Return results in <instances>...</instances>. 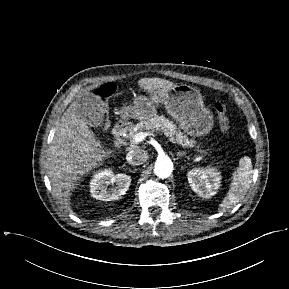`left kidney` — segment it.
Wrapping results in <instances>:
<instances>
[{"label":"left kidney","instance_id":"5707ae66","mask_svg":"<svg viewBox=\"0 0 289 289\" xmlns=\"http://www.w3.org/2000/svg\"><path fill=\"white\" fill-rule=\"evenodd\" d=\"M192 190L203 198H211L220 187L221 176L215 168H193L187 174Z\"/></svg>","mask_w":289,"mask_h":289}]
</instances>
